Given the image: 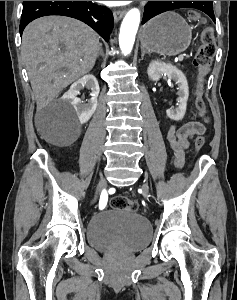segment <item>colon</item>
I'll use <instances>...</instances> for the list:
<instances>
[{
  "label": "colon",
  "mask_w": 237,
  "mask_h": 300,
  "mask_svg": "<svg viewBox=\"0 0 237 300\" xmlns=\"http://www.w3.org/2000/svg\"><path fill=\"white\" fill-rule=\"evenodd\" d=\"M190 17L196 22H201L202 19L198 12L191 11ZM216 54V44L212 33L206 28L201 35V44L198 47L194 65L197 68V89H196V106L198 114L204 117L206 114V105L203 100V81L209 71L212 60ZM205 144V137L199 135L195 140V151L198 152ZM110 205L113 209L135 212L138 209V203L135 200L125 196L116 195L111 198Z\"/></svg>",
  "instance_id": "obj_1"
}]
</instances>
